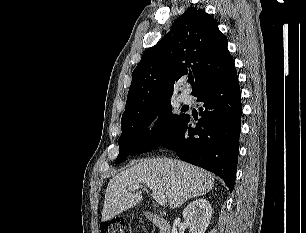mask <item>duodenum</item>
<instances>
[{"instance_id":"obj_1","label":"duodenum","mask_w":306,"mask_h":233,"mask_svg":"<svg viewBox=\"0 0 306 233\" xmlns=\"http://www.w3.org/2000/svg\"><path fill=\"white\" fill-rule=\"evenodd\" d=\"M147 217L155 224L158 229V233H170V224L163 217L147 210Z\"/></svg>"}]
</instances>
